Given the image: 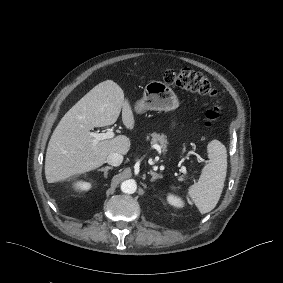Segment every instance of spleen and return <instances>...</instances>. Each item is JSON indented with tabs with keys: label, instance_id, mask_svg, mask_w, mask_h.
<instances>
[{
	"label": "spleen",
	"instance_id": "spleen-1",
	"mask_svg": "<svg viewBox=\"0 0 283 283\" xmlns=\"http://www.w3.org/2000/svg\"><path fill=\"white\" fill-rule=\"evenodd\" d=\"M207 151L209 163L203 168L198 182L188 191L201 214L210 212L217 205L227 172L225 146L218 140H212L207 145Z\"/></svg>",
	"mask_w": 283,
	"mask_h": 283
}]
</instances>
